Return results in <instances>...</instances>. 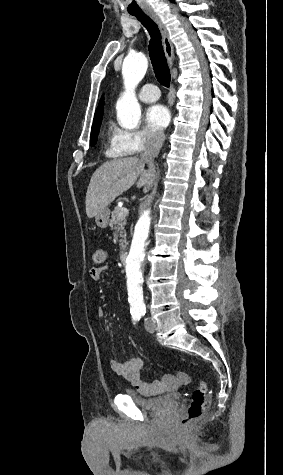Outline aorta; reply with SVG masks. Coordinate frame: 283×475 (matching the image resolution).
<instances>
[{
  "label": "aorta",
  "instance_id": "1",
  "mask_svg": "<svg viewBox=\"0 0 283 475\" xmlns=\"http://www.w3.org/2000/svg\"><path fill=\"white\" fill-rule=\"evenodd\" d=\"M148 61L142 53H130L123 62L122 75L124 92L117 102V118L126 129L137 127L141 108L135 95V88L146 74ZM156 228V212L151 206H142L133 226V238L126 259L128 301L132 308H144L143 270L146 250Z\"/></svg>",
  "mask_w": 283,
  "mask_h": 475
}]
</instances>
